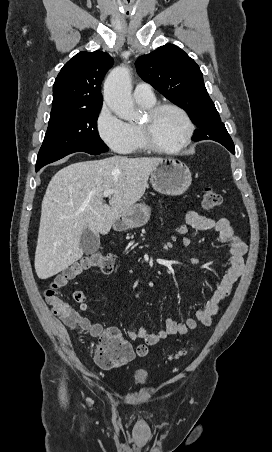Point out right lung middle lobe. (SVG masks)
Returning a JSON list of instances; mask_svg holds the SVG:
<instances>
[{
    "mask_svg": "<svg viewBox=\"0 0 272 452\" xmlns=\"http://www.w3.org/2000/svg\"><path fill=\"white\" fill-rule=\"evenodd\" d=\"M100 108L50 115L49 125L37 160L59 156L74 149L103 153L108 147L97 131Z\"/></svg>",
    "mask_w": 272,
    "mask_h": 452,
    "instance_id": "dd1d6c3e",
    "label": "right lung middle lobe"
}]
</instances>
